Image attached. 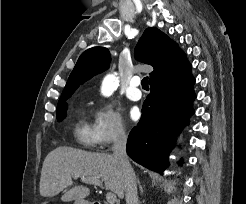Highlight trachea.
<instances>
[{
  "label": "trachea",
  "instance_id": "3493384b",
  "mask_svg": "<svg viewBox=\"0 0 246 204\" xmlns=\"http://www.w3.org/2000/svg\"><path fill=\"white\" fill-rule=\"evenodd\" d=\"M141 85L143 89H149L148 77H144L141 81Z\"/></svg>",
  "mask_w": 246,
  "mask_h": 204
}]
</instances>
